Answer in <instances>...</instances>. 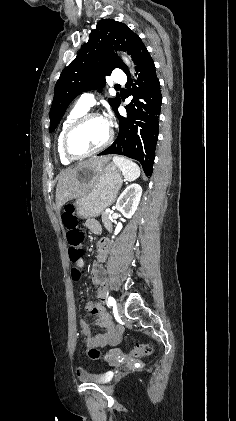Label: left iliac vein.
<instances>
[{"label":"left iliac vein","instance_id":"4c4485c4","mask_svg":"<svg viewBox=\"0 0 236 421\" xmlns=\"http://www.w3.org/2000/svg\"><path fill=\"white\" fill-rule=\"evenodd\" d=\"M123 305L121 303H117V312L118 315H122Z\"/></svg>","mask_w":236,"mask_h":421}]
</instances>
